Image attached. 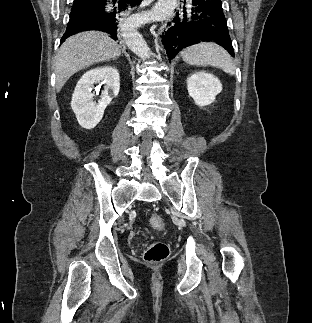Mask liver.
I'll use <instances>...</instances> for the list:
<instances>
[{
    "instance_id": "6515ba94",
    "label": "liver",
    "mask_w": 312,
    "mask_h": 323,
    "mask_svg": "<svg viewBox=\"0 0 312 323\" xmlns=\"http://www.w3.org/2000/svg\"><path fill=\"white\" fill-rule=\"evenodd\" d=\"M121 56L120 46L104 32H80L62 44L55 62L56 90L60 92L70 76L98 62Z\"/></svg>"
}]
</instances>
